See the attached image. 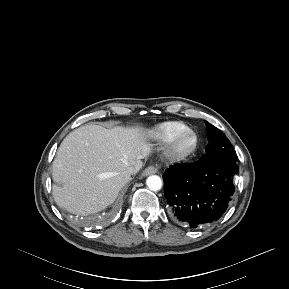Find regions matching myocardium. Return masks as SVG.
Wrapping results in <instances>:
<instances>
[{"instance_id":"f54148a6","label":"myocardium","mask_w":289,"mask_h":289,"mask_svg":"<svg viewBox=\"0 0 289 289\" xmlns=\"http://www.w3.org/2000/svg\"><path fill=\"white\" fill-rule=\"evenodd\" d=\"M193 138V144L188 149L181 148V142L186 137ZM199 146V138L198 135L188 129L176 135L167 145L165 150V157L167 160L171 162H180L184 161L195 154Z\"/></svg>"}]
</instances>
